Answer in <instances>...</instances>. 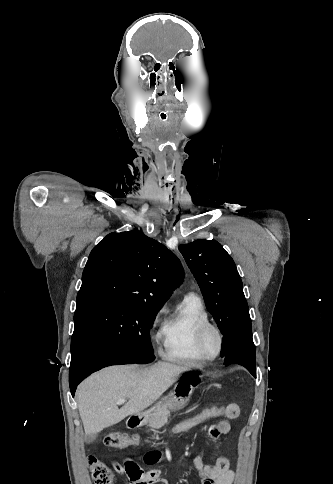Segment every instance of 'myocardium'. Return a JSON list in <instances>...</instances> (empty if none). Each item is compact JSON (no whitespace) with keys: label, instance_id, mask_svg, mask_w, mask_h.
Instances as JSON below:
<instances>
[{"label":"myocardium","instance_id":"f54148a6","mask_svg":"<svg viewBox=\"0 0 333 484\" xmlns=\"http://www.w3.org/2000/svg\"><path fill=\"white\" fill-rule=\"evenodd\" d=\"M213 333L217 338V350L213 355H210L205 348L207 336ZM224 338L218 326L211 322L203 323L199 326L196 332V347L200 355L206 360L211 361L217 359L223 350Z\"/></svg>","mask_w":333,"mask_h":484}]
</instances>
